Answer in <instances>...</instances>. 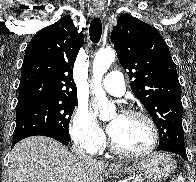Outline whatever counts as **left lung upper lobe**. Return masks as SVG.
Returning <instances> with one entry per match:
<instances>
[{
	"label": "left lung upper lobe",
	"instance_id": "obj_1",
	"mask_svg": "<svg viewBox=\"0 0 196 182\" xmlns=\"http://www.w3.org/2000/svg\"><path fill=\"white\" fill-rule=\"evenodd\" d=\"M111 42L129 77L131 89L154 120L158 148L185 147L183 107L177 70L168 46L157 29L123 14L111 33Z\"/></svg>",
	"mask_w": 196,
	"mask_h": 182
}]
</instances>
